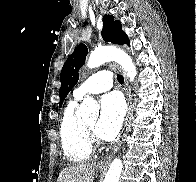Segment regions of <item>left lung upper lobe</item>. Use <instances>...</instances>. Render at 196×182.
<instances>
[{"label":"left lung upper lobe","instance_id":"left-lung-upper-lobe-1","mask_svg":"<svg viewBox=\"0 0 196 182\" xmlns=\"http://www.w3.org/2000/svg\"><path fill=\"white\" fill-rule=\"evenodd\" d=\"M102 37L104 41L130 45L128 36L122 30V25L119 20H115L111 15H104ZM88 53V48L84 44H79L74 52L69 56L63 65L61 71V87L59 89L61 107L67 94L77 84L79 79L78 71L85 63V58Z\"/></svg>","mask_w":196,"mask_h":182}]
</instances>
